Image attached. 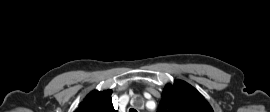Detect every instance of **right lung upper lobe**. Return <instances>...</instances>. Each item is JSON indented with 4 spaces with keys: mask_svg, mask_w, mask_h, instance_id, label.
Wrapping results in <instances>:
<instances>
[{
    "mask_svg": "<svg viewBox=\"0 0 270 112\" xmlns=\"http://www.w3.org/2000/svg\"><path fill=\"white\" fill-rule=\"evenodd\" d=\"M111 90L93 91L75 112H117L112 104Z\"/></svg>",
    "mask_w": 270,
    "mask_h": 112,
    "instance_id": "1",
    "label": "right lung upper lobe"
}]
</instances>
